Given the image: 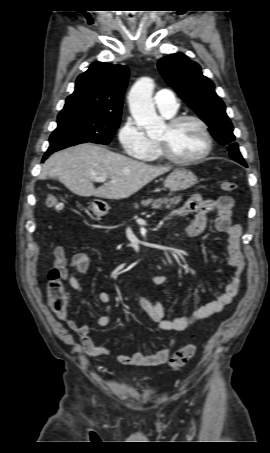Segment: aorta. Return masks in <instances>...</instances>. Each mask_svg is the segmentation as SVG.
Returning <instances> with one entry per match:
<instances>
[{
  "mask_svg": "<svg viewBox=\"0 0 270 453\" xmlns=\"http://www.w3.org/2000/svg\"><path fill=\"white\" fill-rule=\"evenodd\" d=\"M153 89V80L142 77L132 86L128 95L133 118L138 126L146 130L149 136L161 133L165 126L163 119L155 111L152 100Z\"/></svg>",
  "mask_w": 270,
  "mask_h": 453,
  "instance_id": "762f6f07",
  "label": "aorta"
}]
</instances>
